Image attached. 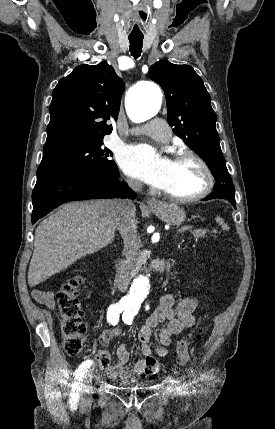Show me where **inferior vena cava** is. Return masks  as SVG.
Returning <instances> with one entry per match:
<instances>
[{"mask_svg":"<svg viewBox=\"0 0 275 429\" xmlns=\"http://www.w3.org/2000/svg\"><path fill=\"white\" fill-rule=\"evenodd\" d=\"M128 184L135 191H140L142 188L141 183L133 180H128ZM135 212L136 208L132 201L119 200L117 202L115 223L124 240V252L130 266L137 263L141 246L140 236L134 222Z\"/></svg>","mask_w":275,"mask_h":429,"instance_id":"602c4592","label":"inferior vena cava"}]
</instances>
